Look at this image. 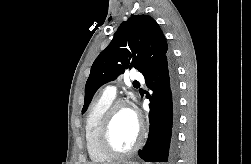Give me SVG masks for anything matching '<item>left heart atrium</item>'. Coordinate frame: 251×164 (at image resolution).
<instances>
[{"instance_id":"left-heart-atrium-1","label":"left heart atrium","mask_w":251,"mask_h":164,"mask_svg":"<svg viewBox=\"0 0 251 164\" xmlns=\"http://www.w3.org/2000/svg\"><path fill=\"white\" fill-rule=\"evenodd\" d=\"M131 111H132V114L134 115V117L137 119V115H136L135 111L132 109H131Z\"/></svg>"}]
</instances>
